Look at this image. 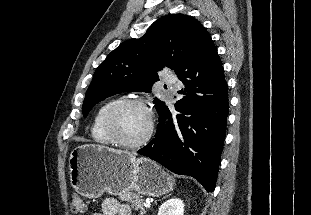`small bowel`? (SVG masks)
<instances>
[{"mask_svg": "<svg viewBox=\"0 0 311 215\" xmlns=\"http://www.w3.org/2000/svg\"><path fill=\"white\" fill-rule=\"evenodd\" d=\"M92 215H132V213L128 205L122 204L114 198H107L102 203L101 212Z\"/></svg>", "mask_w": 311, "mask_h": 215, "instance_id": "obj_1", "label": "small bowel"}]
</instances>
